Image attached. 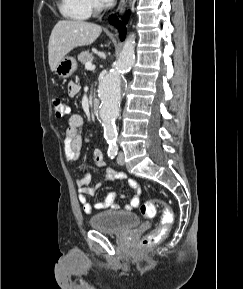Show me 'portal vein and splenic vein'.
<instances>
[{
    "mask_svg": "<svg viewBox=\"0 0 243 289\" xmlns=\"http://www.w3.org/2000/svg\"><path fill=\"white\" fill-rule=\"evenodd\" d=\"M85 68H86L87 70H94V69H95V65H93L91 62H87V63L85 64Z\"/></svg>",
    "mask_w": 243,
    "mask_h": 289,
    "instance_id": "portal-vein-and-splenic-vein-1",
    "label": "portal vein and splenic vein"
}]
</instances>
